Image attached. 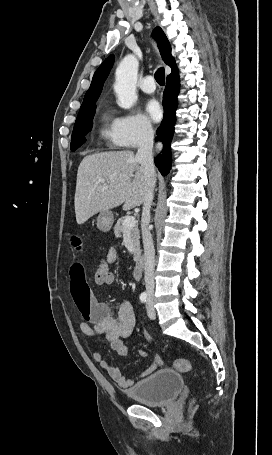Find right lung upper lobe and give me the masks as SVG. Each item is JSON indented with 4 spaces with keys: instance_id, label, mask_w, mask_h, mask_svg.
I'll return each instance as SVG.
<instances>
[{
    "instance_id": "obj_1",
    "label": "right lung upper lobe",
    "mask_w": 272,
    "mask_h": 455,
    "mask_svg": "<svg viewBox=\"0 0 272 455\" xmlns=\"http://www.w3.org/2000/svg\"><path fill=\"white\" fill-rule=\"evenodd\" d=\"M153 36H154L155 40L157 41L163 61L167 65H169L172 69V72L169 76L178 74V69H177L175 60L171 55V46H170V43H169L165 33L163 32V30L160 27H156L154 29ZM113 62H114V55H110L109 57H107L104 60V62L96 70V72L93 76L90 88L88 89V91L85 94L82 106H85V105H88V104H91V103H94L97 101V99L102 91L103 84L109 75Z\"/></svg>"
}]
</instances>
